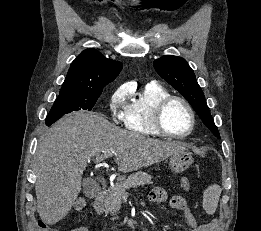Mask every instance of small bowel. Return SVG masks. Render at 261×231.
Segmentation results:
<instances>
[{"label":"small bowel","instance_id":"1","mask_svg":"<svg viewBox=\"0 0 261 231\" xmlns=\"http://www.w3.org/2000/svg\"><path fill=\"white\" fill-rule=\"evenodd\" d=\"M181 186L184 189H189L190 182L187 177L181 178ZM149 200L152 203L160 204L167 200V194L163 189H155L149 195ZM170 206L176 211L180 212L184 216L185 224L189 231H214V225L212 223L200 225L195 218L187 200L179 195L172 196L170 198ZM69 231H88L87 227L72 228Z\"/></svg>","mask_w":261,"mask_h":231}]
</instances>
